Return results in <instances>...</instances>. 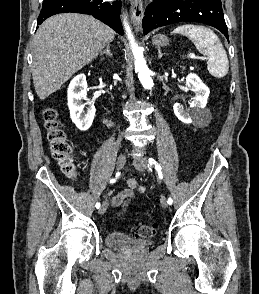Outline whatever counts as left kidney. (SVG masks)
I'll return each instance as SVG.
<instances>
[{
	"instance_id": "5707ae66",
	"label": "left kidney",
	"mask_w": 259,
	"mask_h": 294,
	"mask_svg": "<svg viewBox=\"0 0 259 294\" xmlns=\"http://www.w3.org/2000/svg\"><path fill=\"white\" fill-rule=\"evenodd\" d=\"M186 86L195 93L194 100L190 103V108L185 110L179 103L173 106L176 117L183 123L199 124V119L204 111L209 97V88L194 73L186 77Z\"/></svg>"
}]
</instances>
